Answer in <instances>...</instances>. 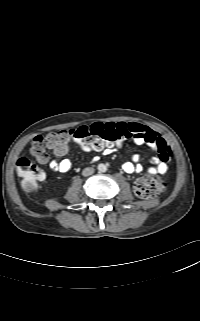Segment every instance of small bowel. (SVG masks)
I'll return each mask as SVG.
<instances>
[{
	"instance_id": "1",
	"label": "small bowel",
	"mask_w": 200,
	"mask_h": 321,
	"mask_svg": "<svg viewBox=\"0 0 200 321\" xmlns=\"http://www.w3.org/2000/svg\"><path fill=\"white\" fill-rule=\"evenodd\" d=\"M104 126H110L115 129L123 128L129 133V139H131L136 145L146 144L156 151V155L152 156L148 160L150 164L146 170L148 174H165L167 172V163L170 159L171 150L161 134L140 123H107L104 124ZM113 146L115 145L110 143L99 150H103L104 148L111 149ZM66 152L67 145L62 151L55 152V157L53 159L48 158L42 163L48 164L52 171L68 173L72 169V163L69 159L62 158ZM122 169L128 174L141 173L144 170V166L141 163L140 155H132L131 159L122 165Z\"/></svg>"
}]
</instances>
